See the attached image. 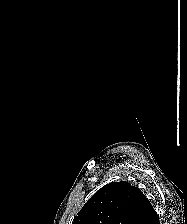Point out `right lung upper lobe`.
Listing matches in <instances>:
<instances>
[{
    "mask_svg": "<svg viewBox=\"0 0 187 224\" xmlns=\"http://www.w3.org/2000/svg\"><path fill=\"white\" fill-rule=\"evenodd\" d=\"M72 224H159V220L141 190L122 181L99 189Z\"/></svg>",
    "mask_w": 187,
    "mask_h": 224,
    "instance_id": "right-lung-upper-lobe-1",
    "label": "right lung upper lobe"
}]
</instances>
